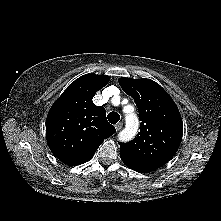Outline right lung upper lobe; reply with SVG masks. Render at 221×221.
Returning a JSON list of instances; mask_svg holds the SVG:
<instances>
[{"mask_svg": "<svg viewBox=\"0 0 221 221\" xmlns=\"http://www.w3.org/2000/svg\"><path fill=\"white\" fill-rule=\"evenodd\" d=\"M109 80L105 75H83L69 85L49 110L47 143L64 164L76 166L89 161L104 139L116 132L106 119V110L92 102Z\"/></svg>", "mask_w": 221, "mask_h": 221, "instance_id": "cb5924a9", "label": "right lung upper lobe"}]
</instances>
